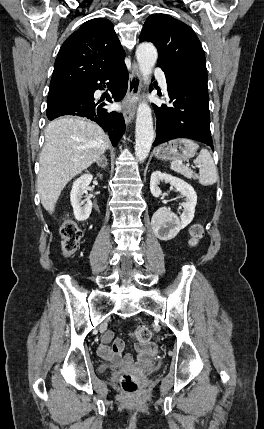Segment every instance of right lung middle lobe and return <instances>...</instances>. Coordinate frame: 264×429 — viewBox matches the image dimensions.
<instances>
[{
    "mask_svg": "<svg viewBox=\"0 0 264 429\" xmlns=\"http://www.w3.org/2000/svg\"><path fill=\"white\" fill-rule=\"evenodd\" d=\"M82 85V84H81ZM81 85H71V86H61L56 88H50L48 93V99L47 104L51 103L52 101L58 99L59 97L76 90Z\"/></svg>",
    "mask_w": 264,
    "mask_h": 429,
    "instance_id": "right-lung-middle-lobe-1",
    "label": "right lung middle lobe"
}]
</instances>
